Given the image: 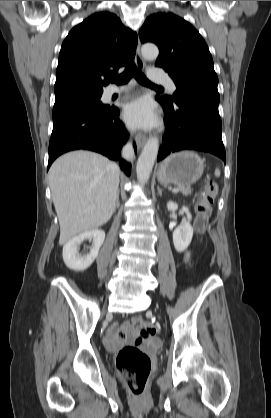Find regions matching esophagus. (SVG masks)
<instances>
[{"instance_id": "1", "label": "esophagus", "mask_w": 271, "mask_h": 418, "mask_svg": "<svg viewBox=\"0 0 271 418\" xmlns=\"http://www.w3.org/2000/svg\"><path fill=\"white\" fill-rule=\"evenodd\" d=\"M135 63L140 70H143L145 67V61L143 60L141 53H140V41L138 39V43L136 46V54H135ZM146 142V136L142 133H138L136 135V144L137 148L141 149Z\"/></svg>"}]
</instances>
